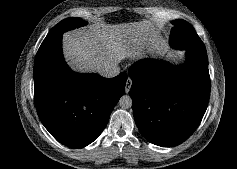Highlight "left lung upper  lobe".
I'll return each instance as SVG.
<instances>
[{
	"mask_svg": "<svg viewBox=\"0 0 237 169\" xmlns=\"http://www.w3.org/2000/svg\"><path fill=\"white\" fill-rule=\"evenodd\" d=\"M174 25L170 35V45L180 50H206L204 43L193 27L184 20L172 21Z\"/></svg>",
	"mask_w": 237,
	"mask_h": 169,
	"instance_id": "5c2ea615",
	"label": "left lung upper lobe"
}]
</instances>
